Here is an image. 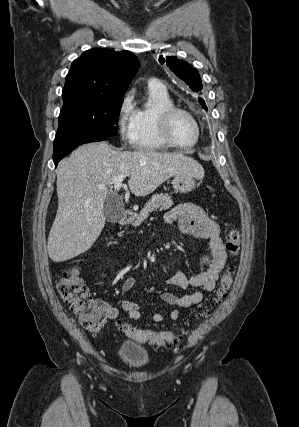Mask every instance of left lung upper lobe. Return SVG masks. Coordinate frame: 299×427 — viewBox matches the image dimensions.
<instances>
[{"label": "left lung upper lobe", "instance_id": "1", "mask_svg": "<svg viewBox=\"0 0 299 427\" xmlns=\"http://www.w3.org/2000/svg\"><path fill=\"white\" fill-rule=\"evenodd\" d=\"M159 61L161 64L164 62L173 71L180 79H182L194 92H198L202 89V81L200 75L196 68L187 63L186 61L179 60L175 56L163 58V56L159 57ZM203 108L207 110V106L203 99H199Z\"/></svg>", "mask_w": 299, "mask_h": 427}]
</instances>
